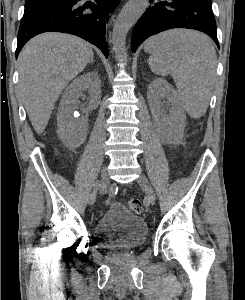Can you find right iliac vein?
I'll use <instances>...</instances> for the list:
<instances>
[{
    "instance_id": "obj_1",
    "label": "right iliac vein",
    "mask_w": 245,
    "mask_h": 300,
    "mask_svg": "<svg viewBox=\"0 0 245 300\" xmlns=\"http://www.w3.org/2000/svg\"><path fill=\"white\" fill-rule=\"evenodd\" d=\"M104 182H107L108 186H109V178H108L106 167H103V169L101 171V179H100L98 185L96 187H94L92 193L88 197V203L89 204H93L95 202L96 193L100 189V186H103Z\"/></svg>"
}]
</instances>
